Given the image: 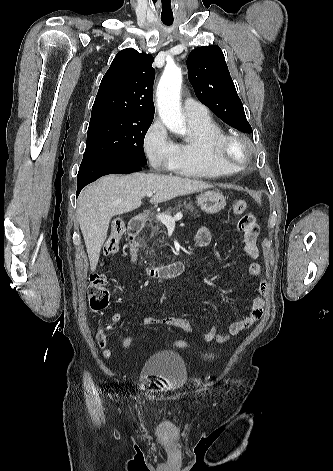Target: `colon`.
<instances>
[{
    "label": "colon",
    "mask_w": 333,
    "mask_h": 471,
    "mask_svg": "<svg viewBox=\"0 0 333 471\" xmlns=\"http://www.w3.org/2000/svg\"><path fill=\"white\" fill-rule=\"evenodd\" d=\"M247 208V202L243 199L236 201L232 206V212L235 215L242 214ZM125 231V223L122 219L117 218L112 222L111 232L104 244L105 256H112L117 253L121 236ZM108 283L107 277L103 274L94 273L91 275V285L88 292L89 305L92 311L98 312L105 310L109 305V293L106 288ZM134 343L133 337H126L122 342L124 349H129ZM177 349H188L189 343L185 340H175L172 343ZM207 357H213V354H207Z\"/></svg>",
    "instance_id": "5ec220e1"
}]
</instances>
